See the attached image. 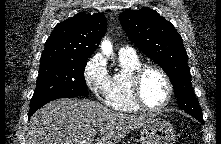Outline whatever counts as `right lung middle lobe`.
<instances>
[{"label":"right lung middle lobe","mask_w":221,"mask_h":144,"mask_svg":"<svg viewBox=\"0 0 221 144\" xmlns=\"http://www.w3.org/2000/svg\"><path fill=\"white\" fill-rule=\"evenodd\" d=\"M86 60L41 59L37 86L29 111L65 96H88L84 78Z\"/></svg>","instance_id":"dd1d6c3e"}]
</instances>
